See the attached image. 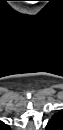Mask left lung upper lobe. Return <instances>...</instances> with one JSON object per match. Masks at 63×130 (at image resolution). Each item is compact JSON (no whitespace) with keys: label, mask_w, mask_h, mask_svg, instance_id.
Returning <instances> with one entry per match:
<instances>
[{"label":"left lung upper lobe","mask_w":63,"mask_h":130,"mask_svg":"<svg viewBox=\"0 0 63 130\" xmlns=\"http://www.w3.org/2000/svg\"><path fill=\"white\" fill-rule=\"evenodd\" d=\"M63 113L57 112L49 120L46 129L47 130H61L63 127Z\"/></svg>","instance_id":"left-lung-upper-lobe-1"}]
</instances>
